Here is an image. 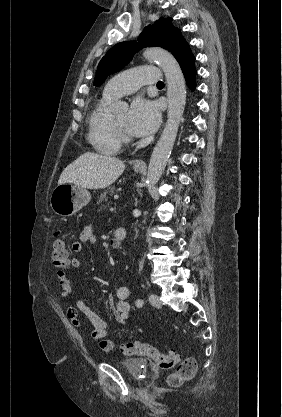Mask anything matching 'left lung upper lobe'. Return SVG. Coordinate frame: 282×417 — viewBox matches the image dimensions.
Here are the masks:
<instances>
[{
  "label": "left lung upper lobe",
  "instance_id": "left-lung-upper-lobe-1",
  "mask_svg": "<svg viewBox=\"0 0 282 417\" xmlns=\"http://www.w3.org/2000/svg\"><path fill=\"white\" fill-rule=\"evenodd\" d=\"M170 21H172L170 17L160 18L153 25L145 27L138 38V43L121 42L112 47L98 65L94 85L100 86L108 75L121 70L141 48L159 46L174 55L179 47L186 45V41Z\"/></svg>",
  "mask_w": 282,
  "mask_h": 417
}]
</instances>
